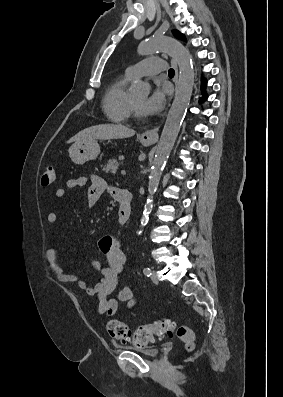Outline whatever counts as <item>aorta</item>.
<instances>
[{"instance_id": "1", "label": "aorta", "mask_w": 283, "mask_h": 397, "mask_svg": "<svg viewBox=\"0 0 283 397\" xmlns=\"http://www.w3.org/2000/svg\"><path fill=\"white\" fill-rule=\"evenodd\" d=\"M165 51L169 53L177 62L179 67L178 86L175 98L167 115V119L158 142L153 166L148 183V197L144 205L141 217V227H144L149 219L153 207V195L155 194L162 175V170L171 153L180 125L186 114L194 85V70L191 55L188 49L179 41L169 37H153L143 42L138 47L140 55H149L155 51ZM135 94H148L150 86L142 81H137L132 85ZM142 230L137 232L138 235Z\"/></svg>"}]
</instances>
